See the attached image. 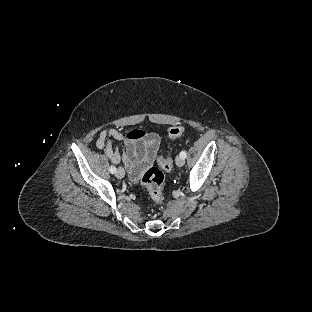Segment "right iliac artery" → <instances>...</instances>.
Instances as JSON below:
<instances>
[{"instance_id":"82829eb1","label":"right iliac artery","mask_w":312,"mask_h":312,"mask_svg":"<svg viewBox=\"0 0 312 312\" xmlns=\"http://www.w3.org/2000/svg\"><path fill=\"white\" fill-rule=\"evenodd\" d=\"M110 172H111L112 174L116 173V167H115V166H111V167H110Z\"/></svg>"}]
</instances>
